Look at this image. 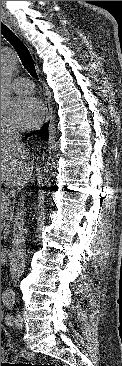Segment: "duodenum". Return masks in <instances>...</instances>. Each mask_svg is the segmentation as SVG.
Listing matches in <instances>:
<instances>
[{
  "instance_id": "obj_1",
  "label": "duodenum",
  "mask_w": 122,
  "mask_h": 366,
  "mask_svg": "<svg viewBox=\"0 0 122 366\" xmlns=\"http://www.w3.org/2000/svg\"><path fill=\"white\" fill-rule=\"evenodd\" d=\"M9 255V251L6 248H1V258L2 260L4 259V257H7Z\"/></svg>"
}]
</instances>
